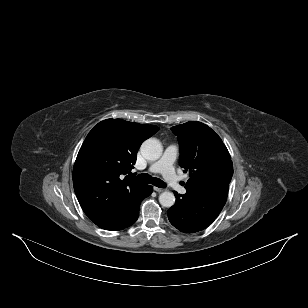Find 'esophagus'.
<instances>
[{
	"instance_id": "esophagus-1",
	"label": "esophagus",
	"mask_w": 308,
	"mask_h": 308,
	"mask_svg": "<svg viewBox=\"0 0 308 308\" xmlns=\"http://www.w3.org/2000/svg\"><path fill=\"white\" fill-rule=\"evenodd\" d=\"M154 190H155L156 192H163L165 189L159 188V187H154Z\"/></svg>"
}]
</instances>
